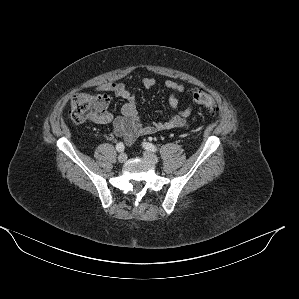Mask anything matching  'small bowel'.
I'll return each mask as SVG.
<instances>
[{
    "label": "small bowel",
    "instance_id": "obj_1",
    "mask_svg": "<svg viewBox=\"0 0 299 299\" xmlns=\"http://www.w3.org/2000/svg\"><path fill=\"white\" fill-rule=\"evenodd\" d=\"M141 85L149 90L157 85V80L153 77L144 78ZM165 87L171 92L168 99L169 107L172 110L171 115L167 120L144 124L137 113L134 94L124 83L115 81L102 83L96 88L97 91L112 93L122 98L124 103L121 108V115L114 117L111 112H104L96 121L100 124L113 123L115 136L122 138L127 144L133 143L139 136L186 127L189 121L196 119V116L191 104L184 109L179 108V97L185 91V86L167 80Z\"/></svg>",
    "mask_w": 299,
    "mask_h": 299
}]
</instances>
